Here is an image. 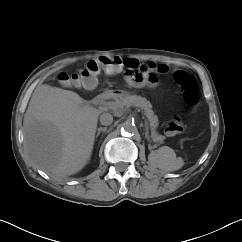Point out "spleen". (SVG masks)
Returning a JSON list of instances; mask_svg holds the SVG:
<instances>
[{"label": "spleen", "mask_w": 242, "mask_h": 242, "mask_svg": "<svg viewBox=\"0 0 242 242\" xmlns=\"http://www.w3.org/2000/svg\"><path fill=\"white\" fill-rule=\"evenodd\" d=\"M178 159L173 149L164 146L157 151V165L164 171H172L177 168Z\"/></svg>", "instance_id": "spleen-1"}]
</instances>
